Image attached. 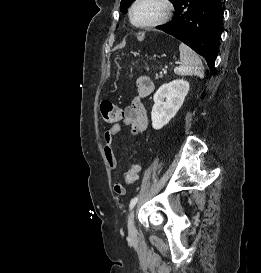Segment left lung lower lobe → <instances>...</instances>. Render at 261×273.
Here are the masks:
<instances>
[{
  "mask_svg": "<svg viewBox=\"0 0 261 273\" xmlns=\"http://www.w3.org/2000/svg\"><path fill=\"white\" fill-rule=\"evenodd\" d=\"M172 22L157 28L174 36L203 56L214 69L221 33V0H177Z\"/></svg>",
  "mask_w": 261,
  "mask_h": 273,
  "instance_id": "left-lung-lower-lobe-1",
  "label": "left lung lower lobe"
}]
</instances>
